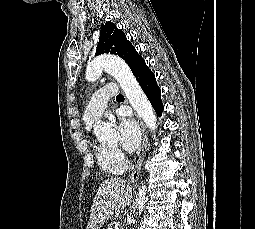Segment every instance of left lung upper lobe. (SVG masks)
<instances>
[{"instance_id":"obj_1","label":"left lung upper lobe","mask_w":255,"mask_h":229,"mask_svg":"<svg viewBox=\"0 0 255 229\" xmlns=\"http://www.w3.org/2000/svg\"><path fill=\"white\" fill-rule=\"evenodd\" d=\"M104 53L118 55L126 61L131 70H133L141 58L133 45L126 39L124 32L111 22L101 25L100 37L95 55L97 56Z\"/></svg>"}]
</instances>
